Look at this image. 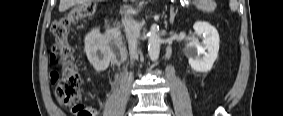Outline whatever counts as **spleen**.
Instances as JSON below:
<instances>
[{
    "label": "spleen",
    "mask_w": 283,
    "mask_h": 116,
    "mask_svg": "<svg viewBox=\"0 0 283 116\" xmlns=\"http://www.w3.org/2000/svg\"><path fill=\"white\" fill-rule=\"evenodd\" d=\"M229 6H230V9L232 11H236L237 8H238V2L237 0H231L230 3H229Z\"/></svg>",
    "instance_id": "3e777b00"
}]
</instances>
